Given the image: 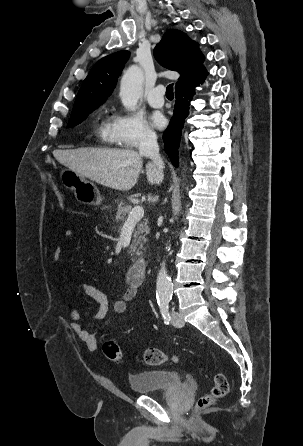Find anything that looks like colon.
<instances>
[{"mask_svg":"<svg viewBox=\"0 0 303 446\" xmlns=\"http://www.w3.org/2000/svg\"><path fill=\"white\" fill-rule=\"evenodd\" d=\"M53 191L59 201L61 207L65 206V196L56 187H53ZM103 352L105 356L112 362L116 364H121L123 361L122 350L118 342L112 338H107L104 340L102 345ZM143 361L150 366H158L166 363L167 361L177 362L178 357L175 355H168L166 352L158 348H147L143 353ZM213 386L210 392L202 396L198 401V408H205L216 401L224 398L229 390V385L226 376L223 373L215 372L212 373Z\"/></svg>","mask_w":303,"mask_h":446,"instance_id":"1","label":"colon"}]
</instances>
